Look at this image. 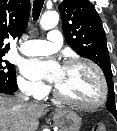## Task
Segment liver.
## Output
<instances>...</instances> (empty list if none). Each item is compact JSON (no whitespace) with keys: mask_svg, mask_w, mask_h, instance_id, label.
Here are the masks:
<instances>
[{"mask_svg":"<svg viewBox=\"0 0 117 131\" xmlns=\"http://www.w3.org/2000/svg\"><path fill=\"white\" fill-rule=\"evenodd\" d=\"M45 110L46 106L0 94V131H36Z\"/></svg>","mask_w":117,"mask_h":131,"instance_id":"obj_1","label":"liver"}]
</instances>
